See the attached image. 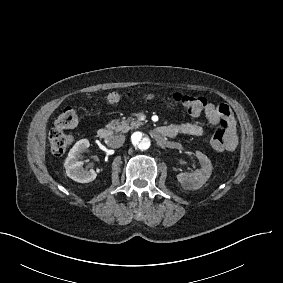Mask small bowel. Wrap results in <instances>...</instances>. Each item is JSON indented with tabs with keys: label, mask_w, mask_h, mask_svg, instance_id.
I'll return each mask as SVG.
<instances>
[{
	"label": "small bowel",
	"mask_w": 283,
	"mask_h": 283,
	"mask_svg": "<svg viewBox=\"0 0 283 283\" xmlns=\"http://www.w3.org/2000/svg\"><path fill=\"white\" fill-rule=\"evenodd\" d=\"M234 108L231 104L225 101H220L217 106L213 103H209L205 108V117L208 122L213 126H219L220 118L227 124L234 121L235 116L233 114ZM169 131L170 136H176L178 134L202 136L205 134V128L203 125L197 122H186L181 124H172L164 126ZM225 139L227 141L226 151L233 152L238 145V138L235 129V123L228 128Z\"/></svg>",
	"instance_id": "c3829d8e"
}]
</instances>
